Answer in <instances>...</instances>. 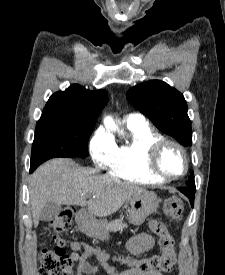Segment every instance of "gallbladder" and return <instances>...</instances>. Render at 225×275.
I'll return each mask as SVG.
<instances>
[{"mask_svg":"<svg viewBox=\"0 0 225 275\" xmlns=\"http://www.w3.org/2000/svg\"><path fill=\"white\" fill-rule=\"evenodd\" d=\"M62 207L60 204L54 202H48L40 212V220L44 222H48L53 220L58 216Z\"/></svg>","mask_w":225,"mask_h":275,"instance_id":"bac80fb5","label":"gallbladder"}]
</instances>
